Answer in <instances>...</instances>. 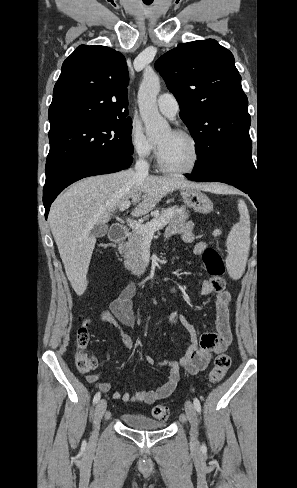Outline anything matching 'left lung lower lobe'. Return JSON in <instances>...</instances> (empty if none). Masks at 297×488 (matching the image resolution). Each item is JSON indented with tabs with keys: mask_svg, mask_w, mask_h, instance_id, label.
Wrapping results in <instances>:
<instances>
[{
	"mask_svg": "<svg viewBox=\"0 0 297 488\" xmlns=\"http://www.w3.org/2000/svg\"><path fill=\"white\" fill-rule=\"evenodd\" d=\"M197 182H222L232 185L245 192L256 203L258 186L255 177L234 167H218L203 173L192 172L186 175Z\"/></svg>",
	"mask_w": 297,
	"mask_h": 488,
	"instance_id": "obj_1",
	"label": "left lung lower lobe"
}]
</instances>
